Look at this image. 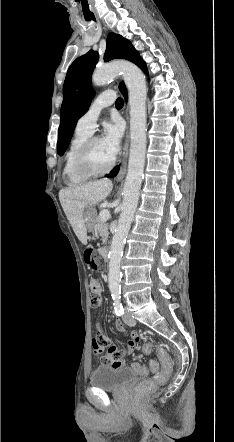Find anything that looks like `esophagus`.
<instances>
[{
    "mask_svg": "<svg viewBox=\"0 0 234 442\" xmlns=\"http://www.w3.org/2000/svg\"><path fill=\"white\" fill-rule=\"evenodd\" d=\"M125 114H126V120H127V128H126V134H125V141L123 146V153H122V159L120 163L119 170L117 171L115 180L116 181H122L124 179L126 168H127V158H128V152H129V117H128V106L125 107Z\"/></svg>",
    "mask_w": 234,
    "mask_h": 442,
    "instance_id": "34e87169",
    "label": "esophagus"
}]
</instances>
